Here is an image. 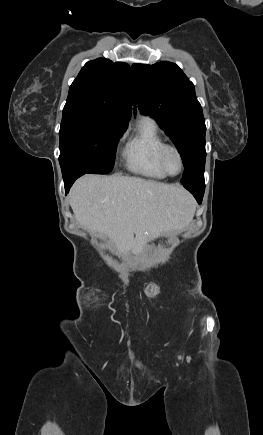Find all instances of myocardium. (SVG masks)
Segmentation results:
<instances>
[{"instance_id":"obj_1","label":"myocardium","mask_w":263,"mask_h":435,"mask_svg":"<svg viewBox=\"0 0 263 435\" xmlns=\"http://www.w3.org/2000/svg\"><path fill=\"white\" fill-rule=\"evenodd\" d=\"M168 151H174L177 154V156L179 158V161H180V170L177 173H175V174L171 173L167 169L166 164H165V156H166V153ZM158 162H159V166L162 169V171L167 176H171V177L180 175L183 172L184 166H185L184 156H183L182 151L180 150V148L178 146H176L175 144H169V143H164L161 146V148L159 150V153H158Z\"/></svg>"}]
</instances>
